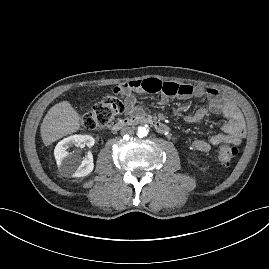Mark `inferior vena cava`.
<instances>
[{"instance_id":"obj_1","label":"inferior vena cava","mask_w":269,"mask_h":269,"mask_svg":"<svg viewBox=\"0 0 269 269\" xmlns=\"http://www.w3.org/2000/svg\"><path fill=\"white\" fill-rule=\"evenodd\" d=\"M122 135H132L134 134V129L132 127H124L121 129Z\"/></svg>"}]
</instances>
